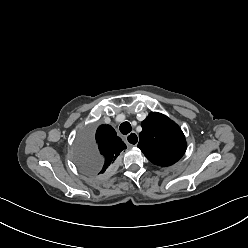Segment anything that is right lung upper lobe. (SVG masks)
<instances>
[{
  "label": "right lung upper lobe",
  "instance_id": "right-lung-upper-lobe-1",
  "mask_svg": "<svg viewBox=\"0 0 248 248\" xmlns=\"http://www.w3.org/2000/svg\"><path fill=\"white\" fill-rule=\"evenodd\" d=\"M95 139L96 147L103 161L99 174H103L115 164L120 152L126 149V145L109 125L99 126L96 131Z\"/></svg>",
  "mask_w": 248,
  "mask_h": 248
}]
</instances>
